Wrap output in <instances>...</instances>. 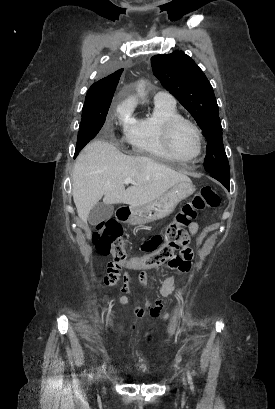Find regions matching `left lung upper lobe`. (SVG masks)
<instances>
[{
  "label": "left lung upper lobe",
  "instance_id": "5c2ea615",
  "mask_svg": "<svg viewBox=\"0 0 275 409\" xmlns=\"http://www.w3.org/2000/svg\"><path fill=\"white\" fill-rule=\"evenodd\" d=\"M154 75L190 112L207 140L204 168L210 174L230 178L223 146L218 105L211 84L202 70L184 52L151 58Z\"/></svg>",
  "mask_w": 275,
  "mask_h": 409
}]
</instances>
